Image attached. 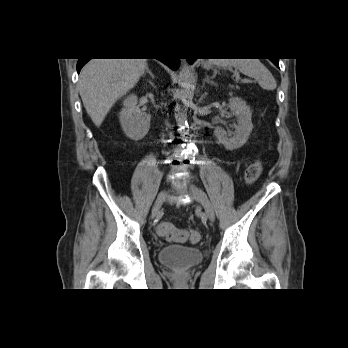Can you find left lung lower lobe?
I'll use <instances>...</instances> for the list:
<instances>
[{"mask_svg": "<svg viewBox=\"0 0 348 348\" xmlns=\"http://www.w3.org/2000/svg\"><path fill=\"white\" fill-rule=\"evenodd\" d=\"M196 59H188L189 63L192 64ZM278 68H279V62L278 59L271 60Z\"/></svg>", "mask_w": 348, "mask_h": 348, "instance_id": "left-lung-lower-lobe-1", "label": "left lung lower lobe"}]
</instances>
